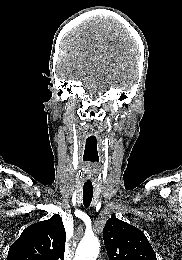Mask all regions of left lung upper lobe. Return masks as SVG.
Returning a JSON list of instances; mask_svg holds the SVG:
<instances>
[{"instance_id": "obj_1", "label": "left lung upper lobe", "mask_w": 182, "mask_h": 260, "mask_svg": "<svg viewBox=\"0 0 182 260\" xmlns=\"http://www.w3.org/2000/svg\"><path fill=\"white\" fill-rule=\"evenodd\" d=\"M109 260H157L144 233L113 214L103 229Z\"/></svg>"}]
</instances>
